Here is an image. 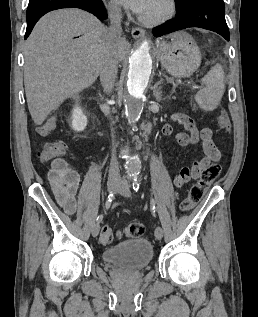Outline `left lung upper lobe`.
<instances>
[{
	"label": "left lung upper lobe",
	"instance_id": "5c2ea615",
	"mask_svg": "<svg viewBox=\"0 0 258 317\" xmlns=\"http://www.w3.org/2000/svg\"><path fill=\"white\" fill-rule=\"evenodd\" d=\"M191 1L192 0H175V2H176V10L178 12H180L184 8V6H186Z\"/></svg>",
	"mask_w": 258,
	"mask_h": 317
}]
</instances>
